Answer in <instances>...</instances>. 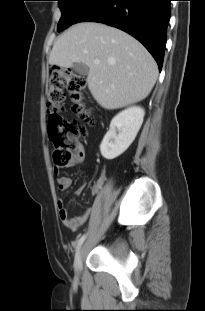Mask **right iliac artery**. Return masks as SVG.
Masks as SVG:
<instances>
[{"mask_svg":"<svg viewBox=\"0 0 205 311\" xmlns=\"http://www.w3.org/2000/svg\"><path fill=\"white\" fill-rule=\"evenodd\" d=\"M85 238H86V235L84 234L77 240L76 249H78L82 245V243L84 242Z\"/></svg>","mask_w":205,"mask_h":311,"instance_id":"right-iliac-artery-1","label":"right iliac artery"}]
</instances>
